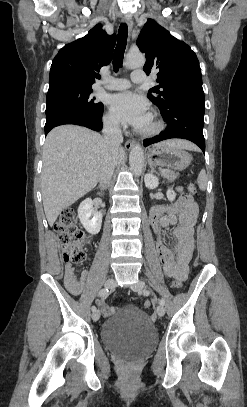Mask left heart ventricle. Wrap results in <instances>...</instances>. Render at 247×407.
Here are the masks:
<instances>
[{
    "instance_id": "b2bd125f",
    "label": "left heart ventricle",
    "mask_w": 247,
    "mask_h": 407,
    "mask_svg": "<svg viewBox=\"0 0 247 407\" xmlns=\"http://www.w3.org/2000/svg\"><path fill=\"white\" fill-rule=\"evenodd\" d=\"M151 126V120L149 119L147 123L144 125L143 129L149 128Z\"/></svg>"
}]
</instances>
